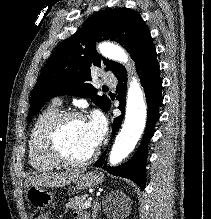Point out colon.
<instances>
[{
    "label": "colon",
    "mask_w": 211,
    "mask_h": 219,
    "mask_svg": "<svg viewBox=\"0 0 211 219\" xmlns=\"http://www.w3.org/2000/svg\"><path fill=\"white\" fill-rule=\"evenodd\" d=\"M32 219H52L49 214L41 213V212H34L32 215Z\"/></svg>",
    "instance_id": "obj_1"
}]
</instances>
